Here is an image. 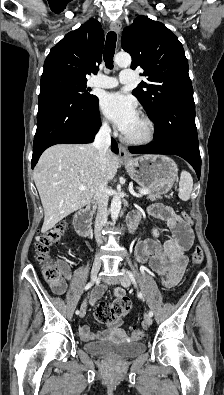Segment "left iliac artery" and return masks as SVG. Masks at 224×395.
Returning <instances> with one entry per match:
<instances>
[{
  "mask_svg": "<svg viewBox=\"0 0 224 395\" xmlns=\"http://www.w3.org/2000/svg\"><path fill=\"white\" fill-rule=\"evenodd\" d=\"M127 275L129 276V278H130L131 280H134L135 275H134L131 271H127ZM138 297H139L140 299H144V296H143V294H142L141 291L138 293ZM148 314H149L150 317L153 316V312H152V311H149Z\"/></svg>",
  "mask_w": 224,
  "mask_h": 395,
  "instance_id": "1",
  "label": "left iliac artery"
}]
</instances>
